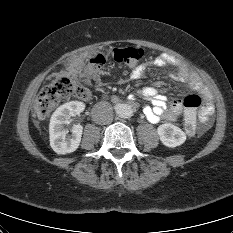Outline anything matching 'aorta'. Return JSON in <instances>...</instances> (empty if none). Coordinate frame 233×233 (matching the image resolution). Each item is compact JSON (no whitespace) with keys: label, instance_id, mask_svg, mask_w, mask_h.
<instances>
[{"label":"aorta","instance_id":"762f6f07","mask_svg":"<svg viewBox=\"0 0 233 233\" xmlns=\"http://www.w3.org/2000/svg\"><path fill=\"white\" fill-rule=\"evenodd\" d=\"M117 113L121 118H130L133 115V109L127 104H122L118 107Z\"/></svg>","mask_w":233,"mask_h":233}]
</instances>
